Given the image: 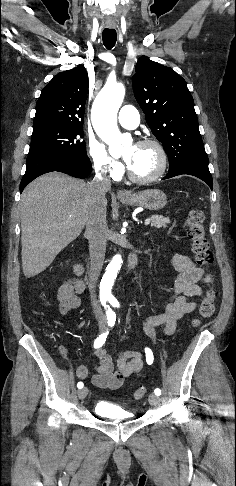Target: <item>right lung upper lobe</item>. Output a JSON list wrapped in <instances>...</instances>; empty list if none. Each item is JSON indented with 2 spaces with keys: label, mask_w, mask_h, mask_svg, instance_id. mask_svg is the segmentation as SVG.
Masks as SVG:
<instances>
[{
  "label": "right lung upper lobe",
  "mask_w": 236,
  "mask_h": 486,
  "mask_svg": "<svg viewBox=\"0 0 236 486\" xmlns=\"http://www.w3.org/2000/svg\"><path fill=\"white\" fill-rule=\"evenodd\" d=\"M87 91L88 76L83 65L57 74L41 92L33 127L82 126Z\"/></svg>",
  "instance_id": "1"
}]
</instances>
